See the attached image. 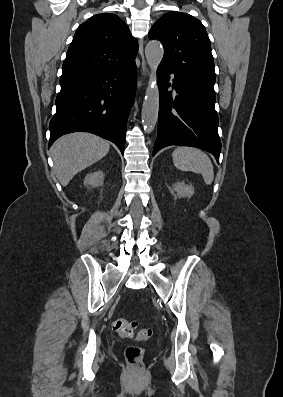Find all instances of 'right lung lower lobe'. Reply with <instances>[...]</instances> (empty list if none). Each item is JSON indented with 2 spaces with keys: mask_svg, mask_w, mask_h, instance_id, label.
<instances>
[{
  "mask_svg": "<svg viewBox=\"0 0 283 397\" xmlns=\"http://www.w3.org/2000/svg\"><path fill=\"white\" fill-rule=\"evenodd\" d=\"M60 85L57 111L49 125L48 148L64 134L85 131L115 143L123 154L128 114L137 86L135 61Z\"/></svg>",
  "mask_w": 283,
  "mask_h": 397,
  "instance_id": "1",
  "label": "right lung lower lobe"
}]
</instances>
